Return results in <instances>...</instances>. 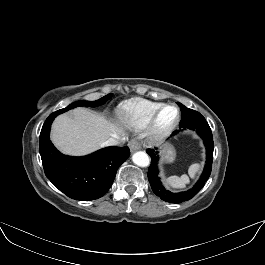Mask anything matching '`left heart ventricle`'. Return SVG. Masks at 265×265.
Listing matches in <instances>:
<instances>
[{
  "label": "left heart ventricle",
  "instance_id": "left-heart-ventricle-1",
  "mask_svg": "<svg viewBox=\"0 0 265 265\" xmlns=\"http://www.w3.org/2000/svg\"><path fill=\"white\" fill-rule=\"evenodd\" d=\"M175 116H176L175 108L168 107L162 112V114L159 118V124L161 126H166L174 120Z\"/></svg>",
  "mask_w": 265,
  "mask_h": 265
}]
</instances>
